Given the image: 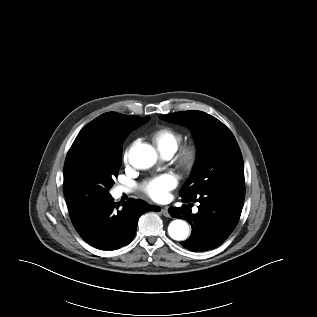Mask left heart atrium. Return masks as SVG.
<instances>
[{"label":"left heart atrium","instance_id":"left-heart-atrium-1","mask_svg":"<svg viewBox=\"0 0 317 317\" xmlns=\"http://www.w3.org/2000/svg\"><path fill=\"white\" fill-rule=\"evenodd\" d=\"M176 185V178L166 173L146 181L143 184V190L151 199L160 202L168 198L169 191Z\"/></svg>","mask_w":317,"mask_h":317}]
</instances>
